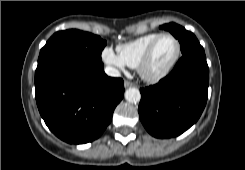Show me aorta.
Returning a JSON list of instances; mask_svg holds the SVG:
<instances>
[{"mask_svg": "<svg viewBox=\"0 0 245 170\" xmlns=\"http://www.w3.org/2000/svg\"><path fill=\"white\" fill-rule=\"evenodd\" d=\"M125 99L130 103H138L141 99L140 91L137 88H128L125 91Z\"/></svg>", "mask_w": 245, "mask_h": 170, "instance_id": "obj_1", "label": "aorta"}]
</instances>
